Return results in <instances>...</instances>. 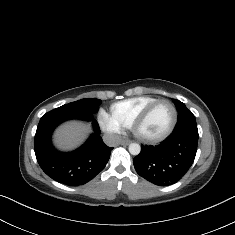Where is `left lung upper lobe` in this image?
Instances as JSON below:
<instances>
[{"label":"left lung upper lobe","instance_id":"1","mask_svg":"<svg viewBox=\"0 0 235 235\" xmlns=\"http://www.w3.org/2000/svg\"><path fill=\"white\" fill-rule=\"evenodd\" d=\"M174 104L178 110V120L173 132L182 130L198 132L196 119L192 112L179 100H174Z\"/></svg>","mask_w":235,"mask_h":235}]
</instances>
